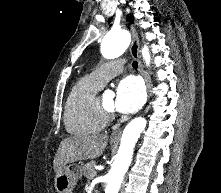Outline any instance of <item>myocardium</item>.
Wrapping results in <instances>:
<instances>
[{
  "label": "myocardium",
  "instance_id": "1",
  "mask_svg": "<svg viewBox=\"0 0 221 193\" xmlns=\"http://www.w3.org/2000/svg\"><path fill=\"white\" fill-rule=\"evenodd\" d=\"M94 105H95L97 111L100 113V115L102 116V118L106 122L111 121L114 118V111H113V109L106 108L101 103L99 96H95V98H94Z\"/></svg>",
  "mask_w": 221,
  "mask_h": 193
}]
</instances>
